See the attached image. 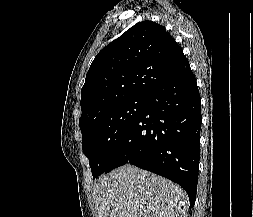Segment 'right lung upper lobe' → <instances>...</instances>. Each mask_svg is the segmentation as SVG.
<instances>
[{
  "instance_id": "cb5924a9",
  "label": "right lung upper lobe",
  "mask_w": 253,
  "mask_h": 217,
  "mask_svg": "<svg viewBox=\"0 0 253 217\" xmlns=\"http://www.w3.org/2000/svg\"><path fill=\"white\" fill-rule=\"evenodd\" d=\"M186 61L164 26L152 21L135 24L92 62L81 90L79 124L120 101L147 97Z\"/></svg>"
}]
</instances>
